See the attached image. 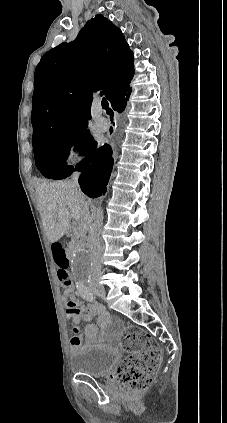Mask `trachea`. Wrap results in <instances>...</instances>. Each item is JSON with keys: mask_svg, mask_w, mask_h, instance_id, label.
<instances>
[{"mask_svg": "<svg viewBox=\"0 0 227 423\" xmlns=\"http://www.w3.org/2000/svg\"><path fill=\"white\" fill-rule=\"evenodd\" d=\"M101 106L104 110H106L107 114L113 115V112H112L111 108H109V104H108V101L106 100V98H102Z\"/></svg>", "mask_w": 227, "mask_h": 423, "instance_id": "obj_1", "label": "trachea"}]
</instances>
